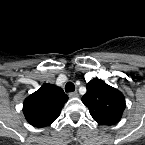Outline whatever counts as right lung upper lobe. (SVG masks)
Returning a JSON list of instances; mask_svg holds the SVG:
<instances>
[{"instance_id":"cb5924a9","label":"right lung upper lobe","mask_w":145,"mask_h":145,"mask_svg":"<svg viewBox=\"0 0 145 145\" xmlns=\"http://www.w3.org/2000/svg\"><path fill=\"white\" fill-rule=\"evenodd\" d=\"M67 100L61 88L45 83L24 100L23 113L32 126L45 127L57 119Z\"/></svg>"}]
</instances>
